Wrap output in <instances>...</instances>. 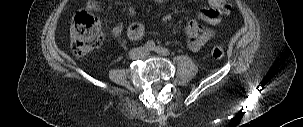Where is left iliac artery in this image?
Wrapping results in <instances>:
<instances>
[{
	"label": "left iliac artery",
	"mask_w": 303,
	"mask_h": 127,
	"mask_svg": "<svg viewBox=\"0 0 303 127\" xmlns=\"http://www.w3.org/2000/svg\"><path fill=\"white\" fill-rule=\"evenodd\" d=\"M154 51L163 56H168L170 54V51L167 48L161 46H156Z\"/></svg>",
	"instance_id": "left-iliac-artery-1"
}]
</instances>
